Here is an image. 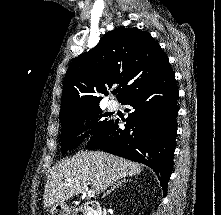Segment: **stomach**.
I'll return each instance as SVG.
<instances>
[{"mask_svg": "<svg viewBox=\"0 0 221 215\" xmlns=\"http://www.w3.org/2000/svg\"><path fill=\"white\" fill-rule=\"evenodd\" d=\"M51 215H72L73 210L66 203L55 204L51 207Z\"/></svg>", "mask_w": 221, "mask_h": 215, "instance_id": "0dacf381", "label": "stomach"}]
</instances>
